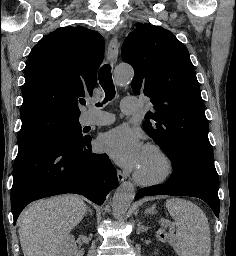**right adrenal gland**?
Here are the masks:
<instances>
[{
	"label": "right adrenal gland",
	"instance_id": "1",
	"mask_svg": "<svg viewBox=\"0 0 236 256\" xmlns=\"http://www.w3.org/2000/svg\"><path fill=\"white\" fill-rule=\"evenodd\" d=\"M88 212H92V210H89V208H88Z\"/></svg>",
	"mask_w": 236,
	"mask_h": 256
}]
</instances>
